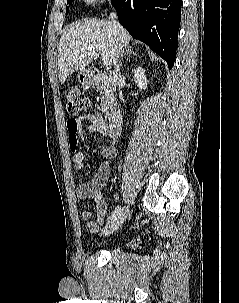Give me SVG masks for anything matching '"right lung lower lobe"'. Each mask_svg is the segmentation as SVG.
<instances>
[{"label": "right lung lower lobe", "instance_id": "98d812e1", "mask_svg": "<svg viewBox=\"0 0 239 303\" xmlns=\"http://www.w3.org/2000/svg\"><path fill=\"white\" fill-rule=\"evenodd\" d=\"M118 19L135 38L146 43L173 67L181 20V0H111Z\"/></svg>", "mask_w": 239, "mask_h": 303}]
</instances>
